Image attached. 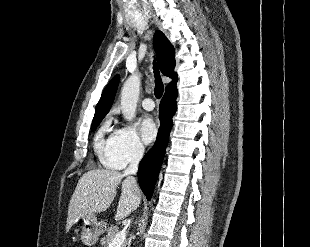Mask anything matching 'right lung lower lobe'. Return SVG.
I'll use <instances>...</instances> for the list:
<instances>
[{"instance_id": "98d812e1", "label": "right lung lower lobe", "mask_w": 310, "mask_h": 247, "mask_svg": "<svg viewBox=\"0 0 310 247\" xmlns=\"http://www.w3.org/2000/svg\"><path fill=\"white\" fill-rule=\"evenodd\" d=\"M176 86L166 89L159 107L160 129L153 148L143 157L138 169L140 188L148 200L153 189L163 161L169 133L172 127V117L176 111Z\"/></svg>"}]
</instances>
